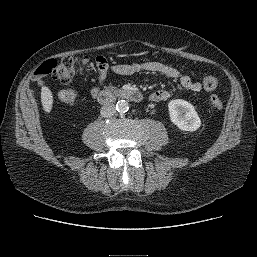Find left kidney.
<instances>
[{"label":"left kidney","instance_id":"5707ae66","mask_svg":"<svg viewBox=\"0 0 257 257\" xmlns=\"http://www.w3.org/2000/svg\"><path fill=\"white\" fill-rule=\"evenodd\" d=\"M170 120L182 131H196L201 120L194 106L182 99H175L168 104Z\"/></svg>","mask_w":257,"mask_h":257}]
</instances>
